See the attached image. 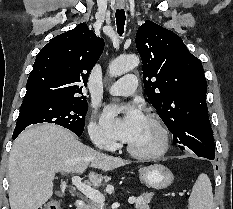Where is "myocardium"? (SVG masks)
Here are the masks:
<instances>
[{"label":"myocardium","mask_w":233,"mask_h":209,"mask_svg":"<svg viewBox=\"0 0 233 209\" xmlns=\"http://www.w3.org/2000/svg\"><path fill=\"white\" fill-rule=\"evenodd\" d=\"M146 118L156 127L159 133V145L151 151H139L133 148L130 144L127 145V151L138 159H156L163 156L169 148V132L162 120L155 114H148Z\"/></svg>","instance_id":"f54148a6"}]
</instances>
